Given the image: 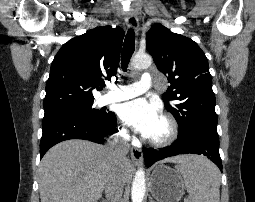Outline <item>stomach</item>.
<instances>
[{
	"label": "stomach",
	"instance_id": "1",
	"mask_svg": "<svg viewBox=\"0 0 255 202\" xmlns=\"http://www.w3.org/2000/svg\"><path fill=\"white\" fill-rule=\"evenodd\" d=\"M149 189L158 202H179L184 195L185 184L177 170L159 164L152 171Z\"/></svg>",
	"mask_w": 255,
	"mask_h": 202
}]
</instances>
